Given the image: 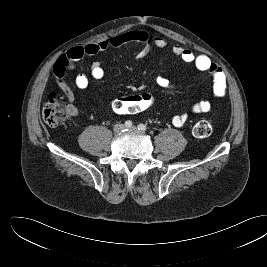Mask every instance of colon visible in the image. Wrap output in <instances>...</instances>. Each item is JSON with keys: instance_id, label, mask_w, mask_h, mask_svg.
<instances>
[{"instance_id": "5ec220e1", "label": "colon", "mask_w": 267, "mask_h": 267, "mask_svg": "<svg viewBox=\"0 0 267 267\" xmlns=\"http://www.w3.org/2000/svg\"><path fill=\"white\" fill-rule=\"evenodd\" d=\"M153 104V95L142 93L116 98L112 101V108L119 114H137L148 110ZM70 114V107L54 94L50 96L42 111L44 121L50 126L64 123ZM212 131L213 124L210 120H200L193 127V134L198 138L208 137Z\"/></svg>"}]
</instances>
